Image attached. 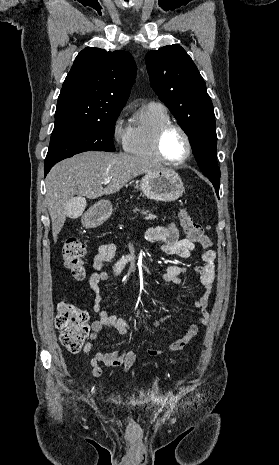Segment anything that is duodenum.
<instances>
[{"instance_id": "duodenum-1", "label": "duodenum", "mask_w": 279, "mask_h": 465, "mask_svg": "<svg viewBox=\"0 0 279 465\" xmlns=\"http://www.w3.org/2000/svg\"><path fill=\"white\" fill-rule=\"evenodd\" d=\"M137 257L136 255L134 254H127L125 256H123L121 258V260L119 261V268L118 269H121L126 263L130 262V261H133V260H136Z\"/></svg>"}]
</instances>
